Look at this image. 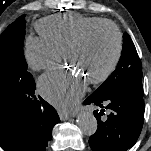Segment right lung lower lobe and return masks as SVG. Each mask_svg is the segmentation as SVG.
<instances>
[{
    "label": "right lung lower lobe",
    "mask_w": 151,
    "mask_h": 151,
    "mask_svg": "<svg viewBox=\"0 0 151 151\" xmlns=\"http://www.w3.org/2000/svg\"><path fill=\"white\" fill-rule=\"evenodd\" d=\"M23 78L21 79L25 92L21 105L23 133L18 151H45L52 138V129L55 124L59 123L60 119L50 104L41 97L39 100L36 99L34 95L36 87L32 75L29 73ZM7 82L8 79L5 76H0V93L6 89Z\"/></svg>",
    "instance_id": "obj_1"
}]
</instances>
